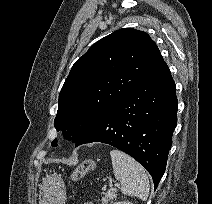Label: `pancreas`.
Masks as SVG:
<instances>
[{
	"mask_svg": "<svg viewBox=\"0 0 212 204\" xmlns=\"http://www.w3.org/2000/svg\"><path fill=\"white\" fill-rule=\"evenodd\" d=\"M116 193V188H110L106 193H104V197L101 199L102 204H108L110 200L116 198Z\"/></svg>",
	"mask_w": 212,
	"mask_h": 204,
	"instance_id": "cf45deb5",
	"label": "pancreas"
}]
</instances>
